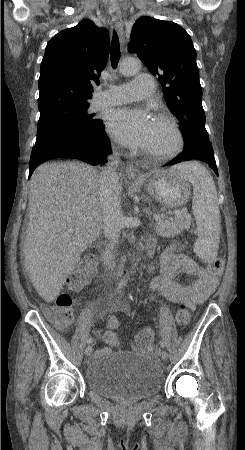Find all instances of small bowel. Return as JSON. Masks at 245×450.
<instances>
[{"label":"small bowel","mask_w":245,"mask_h":450,"mask_svg":"<svg viewBox=\"0 0 245 450\" xmlns=\"http://www.w3.org/2000/svg\"><path fill=\"white\" fill-rule=\"evenodd\" d=\"M147 248L150 253L154 252L155 242L149 239ZM160 273L151 282V288L161 291L166 298L173 303H185L193 310L202 303L216 289L219 283V273H214L210 269L200 268L190 257L177 253L175 244H170L159 257ZM186 274L196 277V280L189 286L179 282L180 275ZM102 315V313H101ZM116 319L115 317H112ZM118 327L109 326L110 329ZM112 352L109 346H105L96 351V355H108Z\"/></svg>","instance_id":"c3829d8e"}]
</instances>
